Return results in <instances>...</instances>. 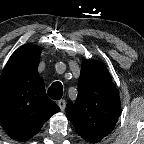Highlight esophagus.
<instances>
[{"label": "esophagus", "mask_w": 144, "mask_h": 144, "mask_svg": "<svg viewBox=\"0 0 144 144\" xmlns=\"http://www.w3.org/2000/svg\"><path fill=\"white\" fill-rule=\"evenodd\" d=\"M58 106L60 107L61 111H64L66 107V101L64 99L59 100Z\"/></svg>", "instance_id": "1"}]
</instances>
